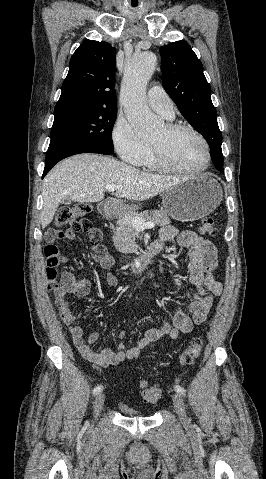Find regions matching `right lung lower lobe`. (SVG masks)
I'll list each match as a JSON object with an SVG mask.
<instances>
[{"mask_svg": "<svg viewBox=\"0 0 266 479\" xmlns=\"http://www.w3.org/2000/svg\"><path fill=\"white\" fill-rule=\"evenodd\" d=\"M79 153H99L105 155L111 154L104 149L94 146L76 144L61 140L51 141L46 155V164L42 178L57 162L66 157Z\"/></svg>", "mask_w": 266, "mask_h": 479, "instance_id": "obj_1", "label": "right lung lower lobe"}]
</instances>
